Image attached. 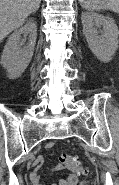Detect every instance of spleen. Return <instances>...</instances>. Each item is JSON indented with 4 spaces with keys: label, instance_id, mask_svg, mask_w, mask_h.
<instances>
[{
    "label": "spleen",
    "instance_id": "obj_1",
    "mask_svg": "<svg viewBox=\"0 0 119 185\" xmlns=\"http://www.w3.org/2000/svg\"><path fill=\"white\" fill-rule=\"evenodd\" d=\"M79 3L88 11L111 10L119 14V0H79Z\"/></svg>",
    "mask_w": 119,
    "mask_h": 185
}]
</instances>
